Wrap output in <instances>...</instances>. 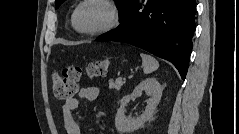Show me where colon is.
<instances>
[{
	"label": "colon",
	"instance_id": "5ec220e1",
	"mask_svg": "<svg viewBox=\"0 0 239 134\" xmlns=\"http://www.w3.org/2000/svg\"><path fill=\"white\" fill-rule=\"evenodd\" d=\"M108 69V61L102 60L91 63L86 67V73L91 78L102 77ZM82 74L81 68L77 66L65 67L60 73H54L52 77V88L54 95L63 100L74 97L78 82Z\"/></svg>",
	"mask_w": 239,
	"mask_h": 134
}]
</instances>
